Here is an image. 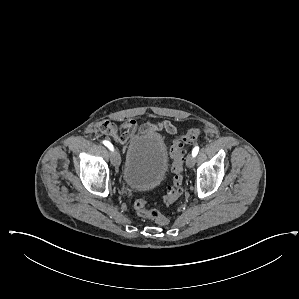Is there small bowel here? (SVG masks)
<instances>
[{
	"mask_svg": "<svg viewBox=\"0 0 299 299\" xmlns=\"http://www.w3.org/2000/svg\"><path fill=\"white\" fill-rule=\"evenodd\" d=\"M108 124L109 129L104 132L120 144L127 143L135 132L145 131L149 128V126L139 127L137 122L133 119L122 122L120 126H116L112 123ZM162 128H164L169 134L173 135L177 133V128L171 123H163Z\"/></svg>",
	"mask_w": 299,
	"mask_h": 299,
	"instance_id": "c3829d8e",
	"label": "small bowel"
}]
</instances>
